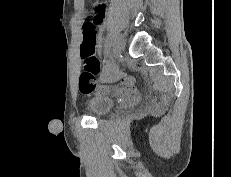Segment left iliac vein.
Masks as SVG:
<instances>
[{
  "label": "left iliac vein",
  "mask_w": 231,
  "mask_h": 177,
  "mask_svg": "<svg viewBox=\"0 0 231 177\" xmlns=\"http://www.w3.org/2000/svg\"><path fill=\"white\" fill-rule=\"evenodd\" d=\"M126 46V40L123 35L119 34L114 42V54L115 56H119Z\"/></svg>",
  "instance_id": "obj_1"
}]
</instances>
